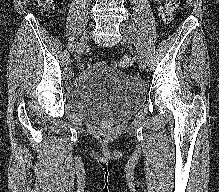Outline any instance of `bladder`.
Returning <instances> with one entry per match:
<instances>
[{
	"instance_id": "1",
	"label": "bladder",
	"mask_w": 219,
	"mask_h": 192,
	"mask_svg": "<svg viewBox=\"0 0 219 192\" xmlns=\"http://www.w3.org/2000/svg\"><path fill=\"white\" fill-rule=\"evenodd\" d=\"M65 98L69 107L90 122H119L142 106L146 89L141 81L99 65L69 82Z\"/></svg>"
}]
</instances>
